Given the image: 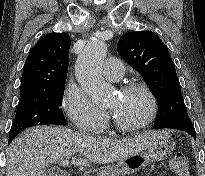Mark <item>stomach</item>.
Here are the masks:
<instances>
[{"label":"stomach","instance_id":"stomach-1","mask_svg":"<svg viewBox=\"0 0 205 176\" xmlns=\"http://www.w3.org/2000/svg\"><path fill=\"white\" fill-rule=\"evenodd\" d=\"M173 148L174 144L169 139L163 138L147 148L146 151L121 159L112 170L105 171V174L107 176H125L135 173L153 162L164 160L172 153Z\"/></svg>","mask_w":205,"mask_h":176}]
</instances>
